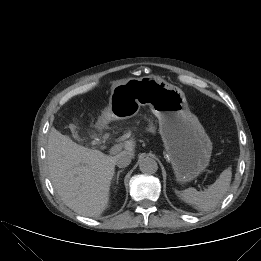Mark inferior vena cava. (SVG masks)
I'll use <instances>...</instances> for the list:
<instances>
[{
    "mask_svg": "<svg viewBox=\"0 0 261 261\" xmlns=\"http://www.w3.org/2000/svg\"><path fill=\"white\" fill-rule=\"evenodd\" d=\"M116 165L119 168L127 167L131 163V156L127 152H121L116 155Z\"/></svg>",
    "mask_w": 261,
    "mask_h": 261,
    "instance_id": "inferior-vena-cava-1",
    "label": "inferior vena cava"
}]
</instances>
